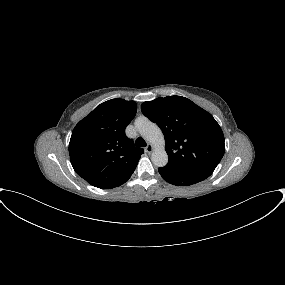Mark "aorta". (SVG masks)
Returning <instances> with one entry per match:
<instances>
[{
    "mask_svg": "<svg viewBox=\"0 0 285 285\" xmlns=\"http://www.w3.org/2000/svg\"><path fill=\"white\" fill-rule=\"evenodd\" d=\"M135 126L141 136L155 146L151 155L153 164L157 167H164L168 163V155L164 147L165 139L161 129L146 117H138Z\"/></svg>",
    "mask_w": 285,
    "mask_h": 285,
    "instance_id": "obj_1",
    "label": "aorta"
}]
</instances>
